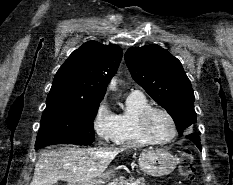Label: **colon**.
Returning <instances> with one entry per match:
<instances>
[{"mask_svg":"<svg viewBox=\"0 0 233 185\" xmlns=\"http://www.w3.org/2000/svg\"><path fill=\"white\" fill-rule=\"evenodd\" d=\"M179 174L185 178L192 177L194 173L193 158L189 150H185L178 160Z\"/></svg>","mask_w":233,"mask_h":185,"instance_id":"5ec220e1","label":"colon"}]
</instances>
